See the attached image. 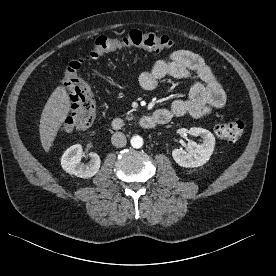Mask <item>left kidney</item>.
<instances>
[{
	"label": "left kidney",
	"mask_w": 276,
	"mask_h": 276,
	"mask_svg": "<svg viewBox=\"0 0 276 276\" xmlns=\"http://www.w3.org/2000/svg\"><path fill=\"white\" fill-rule=\"evenodd\" d=\"M188 134L201 137L203 143L197 144L195 141L190 140L187 144L188 152L183 149H174L172 157L182 167L194 168L202 166L208 162L213 153L215 137L210 131L199 127L190 128Z\"/></svg>",
	"instance_id": "obj_1"
}]
</instances>
